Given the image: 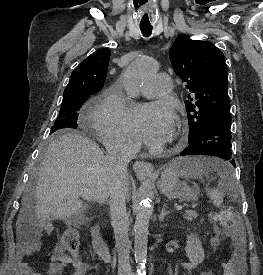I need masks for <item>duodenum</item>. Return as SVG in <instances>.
Instances as JSON below:
<instances>
[{
	"label": "duodenum",
	"mask_w": 263,
	"mask_h": 275,
	"mask_svg": "<svg viewBox=\"0 0 263 275\" xmlns=\"http://www.w3.org/2000/svg\"><path fill=\"white\" fill-rule=\"evenodd\" d=\"M92 243L95 252L105 261L111 259V252L107 242L105 241L99 224H96L92 228Z\"/></svg>",
	"instance_id": "duodenum-1"
}]
</instances>
